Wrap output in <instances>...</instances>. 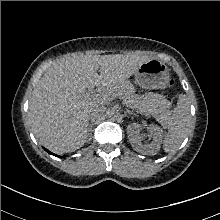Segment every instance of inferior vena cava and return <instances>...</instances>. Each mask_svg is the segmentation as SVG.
Segmentation results:
<instances>
[{
    "mask_svg": "<svg viewBox=\"0 0 220 220\" xmlns=\"http://www.w3.org/2000/svg\"><path fill=\"white\" fill-rule=\"evenodd\" d=\"M104 112H105L104 105L96 106L91 110L89 114V118L91 120H95L96 118L100 117Z\"/></svg>",
    "mask_w": 220,
    "mask_h": 220,
    "instance_id": "602c4592",
    "label": "inferior vena cava"
}]
</instances>
